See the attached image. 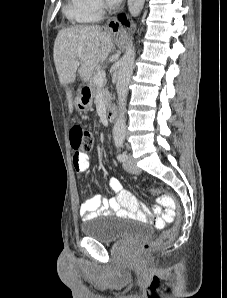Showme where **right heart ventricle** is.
Returning a JSON list of instances; mask_svg holds the SVG:
<instances>
[{
    "label": "right heart ventricle",
    "instance_id": "e07e8e85",
    "mask_svg": "<svg viewBox=\"0 0 227 298\" xmlns=\"http://www.w3.org/2000/svg\"><path fill=\"white\" fill-rule=\"evenodd\" d=\"M63 12L65 16L76 24H87L98 19L99 14L88 0H67Z\"/></svg>",
    "mask_w": 227,
    "mask_h": 298
}]
</instances>
